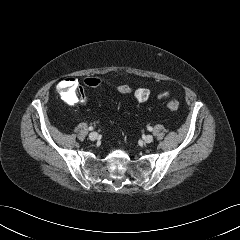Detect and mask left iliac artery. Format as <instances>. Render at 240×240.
Here are the masks:
<instances>
[{
	"instance_id": "obj_1",
	"label": "left iliac artery",
	"mask_w": 240,
	"mask_h": 240,
	"mask_svg": "<svg viewBox=\"0 0 240 240\" xmlns=\"http://www.w3.org/2000/svg\"><path fill=\"white\" fill-rule=\"evenodd\" d=\"M147 128H148L149 131L153 130V128L151 126H148Z\"/></svg>"
}]
</instances>
